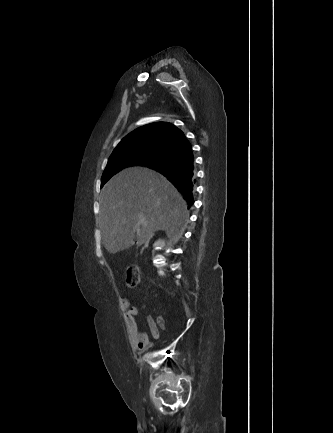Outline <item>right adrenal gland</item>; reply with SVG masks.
I'll list each match as a JSON object with an SVG mask.
<instances>
[{
    "label": "right adrenal gland",
    "instance_id": "2a0ac1e0",
    "mask_svg": "<svg viewBox=\"0 0 333 433\" xmlns=\"http://www.w3.org/2000/svg\"><path fill=\"white\" fill-rule=\"evenodd\" d=\"M148 244H149V242H146V244H145L144 248L148 247Z\"/></svg>",
    "mask_w": 333,
    "mask_h": 433
}]
</instances>
